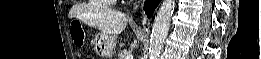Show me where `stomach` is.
Instances as JSON below:
<instances>
[{
  "label": "stomach",
  "instance_id": "1",
  "mask_svg": "<svg viewBox=\"0 0 261 59\" xmlns=\"http://www.w3.org/2000/svg\"><path fill=\"white\" fill-rule=\"evenodd\" d=\"M116 46V37L98 34L94 38V49L98 55L104 58L112 57Z\"/></svg>",
  "mask_w": 261,
  "mask_h": 59
}]
</instances>
